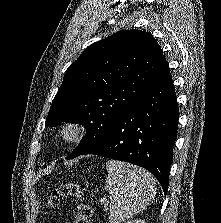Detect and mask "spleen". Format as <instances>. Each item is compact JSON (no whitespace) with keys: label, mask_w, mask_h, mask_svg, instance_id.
Here are the masks:
<instances>
[{"label":"spleen","mask_w":221,"mask_h":223,"mask_svg":"<svg viewBox=\"0 0 221 223\" xmlns=\"http://www.w3.org/2000/svg\"><path fill=\"white\" fill-rule=\"evenodd\" d=\"M105 189L111 194L110 223L124 222L144 210L155 198V179L137 166L109 160Z\"/></svg>","instance_id":"obj_1"}]
</instances>
